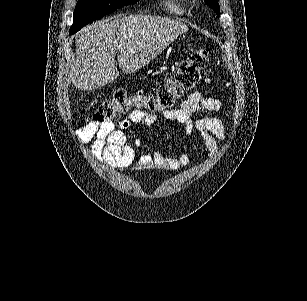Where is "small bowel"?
Returning a JSON list of instances; mask_svg holds the SVG:
<instances>
[{"label":"small bowel","mask_w":307,"mask_h":301,"mask_svg":"<svg viewBox=\"0 0 307 301\" xmlns=\"http://www.w3.org/2000/svg\"><path fill=\"white\" fill-rule=\"evenodd\" d=\"M222 109V102L215 97L205 96L201 92L190 94L180 107L163 112V117L170 123L180 124L187 135L197 132L208 151L209 156L218 152V142L225 141L227 129L224 123L215 117L193 119L199 112H212ZM157 116L145 111H132L117 125L112 122L99 124L89 122L76 131L82 143L92 142L91 153L110 166L125 169L132 165L135 171L157 169L170 171L186 165L190 156L187 152L172 156L161 151L145 153L136 157L135 148H141V140L134 134L135 129L149 126L156 122ZM129 132L133 144L128 141Z\"/></svg>","instance_id":"small-bowel-1"}]
</instances>
